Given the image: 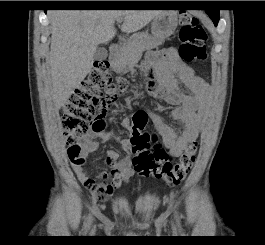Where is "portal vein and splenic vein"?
Here are the masks:
<instances>
[{
    "instance_id": "portal-vein-and-splenic-vein-1",
    "label": "portal vein and splenic vein",
    "mask_w": 265,
    "mask_h": 245,
    "mask_svg": "<svg viewBox=\"0 0 265 245\" xmlns=\"http://www.w3.org/2000/svg\"><path fill=\"white\" fill-rule=\"evenodd\" d=\"M117 23L118 24L122 23V19H117Z\"/></svg>"
}]
</instances>
